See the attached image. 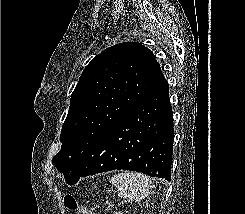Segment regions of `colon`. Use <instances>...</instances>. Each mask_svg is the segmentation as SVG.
Instances as JSON below:
<instances>
[{"label": "colon", "instance_id": "colon-1", "mask_svg": "<svg viewBox=\"0 0 245 214\" xmlns=\"http://www.w3.org/2000/svg\"><path fill=\"white\" fill-rule=\"evenodd\" d=\"M64 204L65 206L71 210V211H75L78 214H96L93 211L85 208L84 206H81L73 196L68 195L67 197H65L64 199ZM114 214H122L121 212H115Z\"/></svg>", "mask_w": 245, "mask_h": 214}]
</instances>
